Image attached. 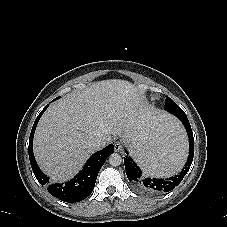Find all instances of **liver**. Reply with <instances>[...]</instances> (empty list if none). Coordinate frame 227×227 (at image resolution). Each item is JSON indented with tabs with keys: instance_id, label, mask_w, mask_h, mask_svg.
<instances>
[{
	"instance_id": "6515ba94",
	"label": "liver",
	"mask_w": 227,
	"mask_h": 227,
	"mask_svg": "<svg viewBox=\"0 0 227 227\" xmlns=\"http://www.w3.org/2000/svg\"><path fill=\"white\" fill-rule=\"evenodd\" d=\"M166 114L151 109L138 88L125 80H103L52 104L34 136V155L54 182L72 178L94 152L88 142L121 137L131 142L135 131Z\"/></svg>"
}]
</instances>
